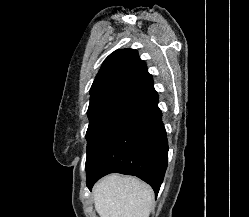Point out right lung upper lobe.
I'll list each match as a JSON object with an SVG mask.
<instances>
[{"label": "right lung upper lobe", "instance_id": "1", "mask_svg": "<svg viewBox=\"0 0 249 217\" xmlns=\"http://www.w3.org/2000/svg\"><path fill=\"white\" fill-rule=\"evenodd\" d=\"M149 73L136 50L122 49L110 54L102 64L90 89L91 99L107 93H124Z\"/></svg>", "mask_w": 249, "mask_h": 217}]
</instances>
